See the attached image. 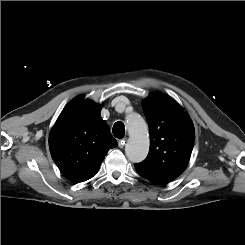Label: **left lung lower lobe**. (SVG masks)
I'll list each match as a JSON object with an SVG mask.
<instances>
[{"mask_svg": "<svg viewBox=\"0 0 245 245\" xmlns=\"http://www.w3.org/2000/svg\"><path fill=\"white\" fill-rule=\"evenodd\" d=\"M137 173H138L140 176H142L143 178H145V179H147V180H149V181H151V182H154V183H156V184H165V183L168 182V181H164V180H161V179H159V178H156V177H150V176H147V175H145V174H143V173H141V172H139V171H137Z\"/></svg>", "mask_w": 245, "mask_h": 245, "instance_id": "0a47b994", "label": "left lung lower lobe"}]
</instances>
